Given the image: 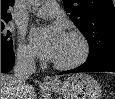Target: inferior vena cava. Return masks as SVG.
Wrapping results in <instances>:
<instances>
[{
    "label": "inferior vena cava",
    "instance_id": "602c4592",
    "mask_svg": "<svg viewBox=\"0 0 115 99\" xmlns=\"http://www.w3.org/2000/svg\"><path fill=\"white\" fill-rule=\"evenodd\" d=\"M35 70L36 65L32 55L28 53L17 54L14 66L13 82L18 99H23L28 88L26 81L35 72Z\"/></svg>",
    "mask_w": 115,
    "mask_h": 99
}]
</instances>
